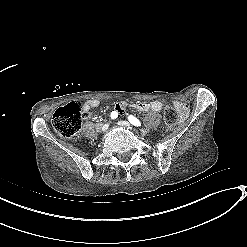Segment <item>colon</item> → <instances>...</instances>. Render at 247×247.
I'll return each instance as SVG.
<instances>
[{
    "instance_id": "colon-1",
    "label": "colon",
    "mask_w": 247,
    "mask_h": 247,
    "mask_svg": "<svg viewBox=\"0 0 247 247\" xmlns=\"http://www.w3.org/2000/svg\"><path fill=\"white\" fill-rule=\"evenodd\" d=\"M82 103L79 100L57 109L52 118L54 129L63 137L69 138L76 135L82 126ZM178 121V112L173 106H166L164 109L165 125L172 129Z\"/></svg>"
}]
</instances>
